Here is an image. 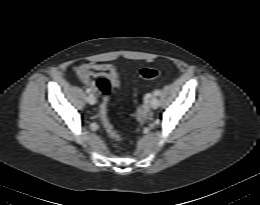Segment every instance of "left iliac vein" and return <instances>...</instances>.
<instances>
[{
    "label": "left iliac vein",
    "instance_id": "1",
    "mask_svg": "<svg viewBox=\"0 0 260 205\" xmlns=\"http://www.w3.org/2000/svg\"><path fill=\"white\" fill-rule=\"evenodd\" d=\"M149 105L152 109H157L159 106V99L156 96H153L150 99Z\"/></svg>",
    "mask_w": 260,
    "mask_h": 205
}]
</instances>
